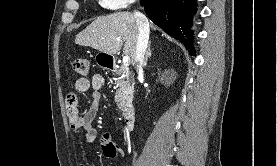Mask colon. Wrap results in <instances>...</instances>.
<instances>
[{"label": "colon", "mask_w": 277, "mask_h": 166, "mask_svg": "<svg viewBox=\"0 0 277 166\" xmlns=\"http://www.w3.org/2000/svg\"><path fill=\"white\" fill-rule=\"evenodd\" d=\"M74 71L81 76H86L89 73V60L85 57L76 58L73 61Z\"/></svg>", "instance_id": "5ec220e1"}]
</instances>
